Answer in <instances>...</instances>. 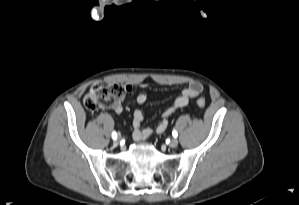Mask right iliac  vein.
Wrapping results in <instances>:
<instances>
[{"instance_id":"63e3f726","label":"right iliac vein","mask_w":299,"mask_h":205,"mask_svg":"<svg viewBox=\"0 0 299 205\" xmlns=\"http://www.w3.org/2000/svg\"><path fill=\"white\" fill-rule=\"evenodd\" d=\"M119 140H120V138H116V139H115V144H118V143H119Z\"/></svg>"}]
</instances>
